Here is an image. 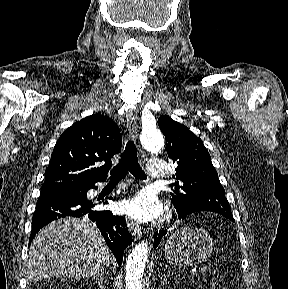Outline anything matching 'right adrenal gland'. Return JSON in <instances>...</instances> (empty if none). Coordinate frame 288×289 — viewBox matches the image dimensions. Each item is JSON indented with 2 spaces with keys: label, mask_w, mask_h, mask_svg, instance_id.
Returning <instances> with one entry per match:
<instances>
[{
  "label": "right adrenal gland",
  "mask_w": 288,
  "mask_h": 289,
  "mask_svg": "<svg viewBox=\"0 0 288 289\" xmlns=\"http://www.w3.org/2000/svg\"><path fill=\"white\" fill-rule=\"evenodd\" d=\"M103 279H104V272H101L99 275L92 277V280H94L100 289H105L103 286Z\"/></svg>",
  "instance_id": "obj_1"
}]
</instances>
